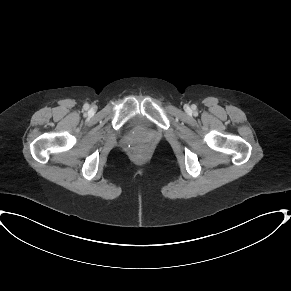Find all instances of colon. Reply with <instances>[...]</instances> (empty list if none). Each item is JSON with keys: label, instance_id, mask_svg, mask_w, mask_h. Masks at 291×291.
<instances>
[{"label": "colon", "instance_id": "1", "mask_svg": "<svg viewBox=\"0 0 291 291\" xmlns=\"http://www.w3.org/2000/svg\"><path fill=\"white\" fill-rule=\"evenodd\" d=\"M135 153H136L137 155H140V154H141V151L138 150V151H136Z\"/></svg>", "mask_w": 291, "mask_h": 291}]
</instances>
